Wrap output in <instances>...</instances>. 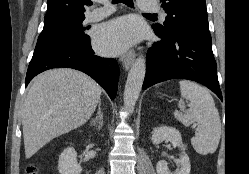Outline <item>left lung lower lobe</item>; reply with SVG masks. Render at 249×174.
<instances>
[{"mask_svg":"<svg viewBox=\"0 0 249 174\" xmlns=\"http://www.w3.org/2000/svg\"><path fill=\"white\" fill-rule=\"evenodd\" d=\"M156 35L161 41L153 43L147 52L143 89L169 79H188L203 84L222 100L211 35L171 39Z\"/></svg>","mask_w":249,"mask_h":174,"instance_id":"left-lung-lower-lobe-1","label":"left lung lower lobe"}]
</instances>
